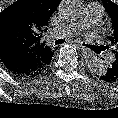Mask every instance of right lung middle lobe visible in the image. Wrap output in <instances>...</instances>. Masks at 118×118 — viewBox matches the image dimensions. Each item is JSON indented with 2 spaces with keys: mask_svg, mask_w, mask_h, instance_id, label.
<instances>
[{
  "mask_svg": "<svg viewBox=\"0 0 118 118\" xmlns=\"http://www.w3.org/2000/svg\"><path fill=\"white\" fill-rule=\"evenodd\" d=\"M9 16H10V18H14L15 13H10Z\"/></svg>",
  "mask_w": 118,
  "mask_h": 118,
  "instance_id": "right-lung-middle-lobe-1",
  "label": "right lung middle lobe"
}]
</instances>
